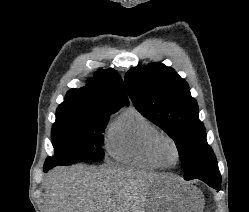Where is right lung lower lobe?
I'll return each mask as SVG.
<instances>
[{
  "mask_svg": "<svg viewBox=\"0 0 249 212\" xmlns=\"http://www.w3.org/2000/svg\"><path fill=\"white\" fill-rule=\"evenodd\" d=\"M54 166H45L44 165V172H47L49 169L53 168Z\"/></svg>",
  "mask_w": 249,
  "mask_h": 212,
  "instance_id": "obj_1",
  "label": "right lung lower lobe"
}]
</instances>
